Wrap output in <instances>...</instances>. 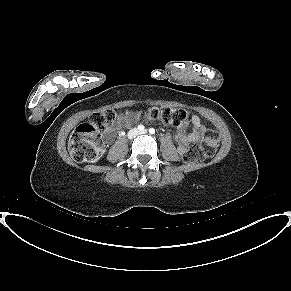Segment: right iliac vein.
I'll return each instance as SVG.
<instances>
[{
	"mask_svg": "<svg viewBox=\"0 0 291 291\" xmlns=\"http://www.w3.org/2000/svg\"><path fill=\"white\" fill-rule=\"evenodd\" d=\"M138 134L137 129H132L128 132V138L132 139Z\"/></svg>",
	"mask_w": 291,
	"mask_h": 291,
	"instance_id": "obj_1",
	"label": "right iliac vein"
}]
</instances>
